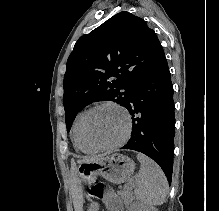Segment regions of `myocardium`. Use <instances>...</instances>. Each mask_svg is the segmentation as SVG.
<instances>
[{
	"instance_id": "1",
	"label": "myocardium",
	"mask_w": 219,
	"mask_h": 211,
	"mask_svg": "<svg viewBox=\"0 0 219 211\" xmlns=\"http://www.w3.org/2000/svg\"><path fill=\"white\" fill-rule=\"evenodd\" d=\"M103 106H111V107L118 109L124 115V117L126 119V128H125L123 136L117 142L112 143V144L98 145V144L92 143L89 140V138L86 134V122H87L88 116L90 115V113L93 110H95L99 107H103ZM131 126H132L131 115L123 106H121L115 102H112V101H103V102H99V103L94 104L93 106H91L89 109H87L84 112V114L81 118V122H80V135H81L83 142L94 150L115 149V148H118L121 145H123L128 140V138L130 136Z\"/></svg>"
}]
</instances>
